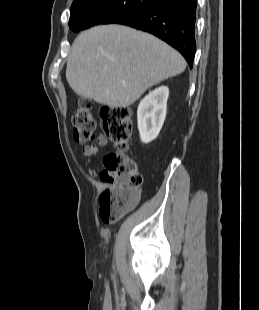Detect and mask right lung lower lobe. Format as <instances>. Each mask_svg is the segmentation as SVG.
Listing matches in <instances>:
<instances>
[{
	"label": "right lung lower lobe",
	"mask_w": 259,
	"mask_h": 310,
	"mask_svg": "<svg viewBox=\"0 0 259 310\" xmlns=\"http://www.w3.org/2000/svg\"><path fill=\"white\" fill-rule=\"evenodd\" d=\"M196 6L197 0H155L116 23L154 34L177 49L192 68L196 47Z\"/></svg>",
	"instance_id": "1"
}]
</instances>
